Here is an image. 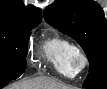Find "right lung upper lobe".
<instances>
[{
  "mask_svg": "<svg viewBox=\"0 0 107 89\" xmlns=\"http://www.w3.org/2000/svg\"><path fill=\"white\" fill-rule=\"evenodd\" d=\"M42 20L41 10L33 5L25 6L23 0L0 1V23L19 27H34Z\"/></svg>",
  "mask_w": 107,
  "mask_h": 89,
  "instance_id": "1",
  "label": "right lung upper lobe"
}]
</instances>
